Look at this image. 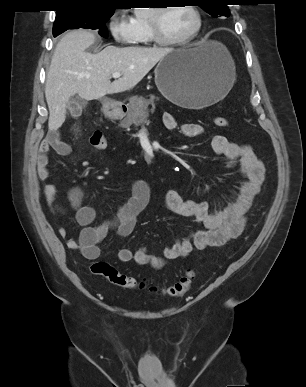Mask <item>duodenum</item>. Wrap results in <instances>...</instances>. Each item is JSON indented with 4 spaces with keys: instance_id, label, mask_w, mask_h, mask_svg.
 <instances>
[{
    "instance_id": "1",
    "label": "duodenum",
    "mask_w": 306,
    "mask_h": 387,
    "mask_svg": "<svg viewBox=\"0 0 306 387\" xmlns=\"http://www.w3.org/2000/svg\"><path fill=\"white\" fill-rule=\"evenodd\" d=\"M125 113H126V110L120 109V110L118 111L117 116H119V117L124 116Z\"/></svg>"
}]
</instances>
